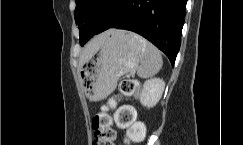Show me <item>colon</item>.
Returning a JSON list of instances; mask_svg holds the SVG:
<instances>
[{
  "instance_id": "5ec220e1",
  "label": "colon",
  "mask_w": 243,
  "mask_h": 145,
  "mask_svg": "<svg viewBox=\"0 0 243 145\" xmlns=\"http://www.w3.org/2000/svg\"><path fill=\"white\" fill-rule=\"evenodd\" d=\"M138 83L132 78H125L119 83L121 94L131 96L136 93ZM115 99H110L107 106L92 118V128L94 130L93 145H114L116 132L113 128L115 124L119 128L127 129L128 137L131 141H140L145 135V126L136 119V110L130 105H123L117 108L112 117L107 111L114 108Z\"/></svg>"
}]
</instances>
